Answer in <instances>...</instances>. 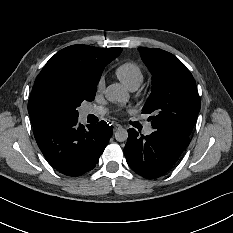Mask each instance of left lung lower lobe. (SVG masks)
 I'll return each instance as SVG.
<instances>
[{"label": "left lung lower lobe", "instance_id": "left-lung-lower-lobe-1", "mask_svg": "<svg viewBox=\"0 0 233 233\" xmlns=\"http://www.w3.org/2000/svg\"><path fill=\"white\" fill-rule=\"evenodd\" d=\"M128 134L124 148L126 160L132 170L148 179L168 172L190 142L187 136L158 131L140 136L130 128Z\"/></svg>", "mask_w": 233, "mask_h": 233}]
</instances>
